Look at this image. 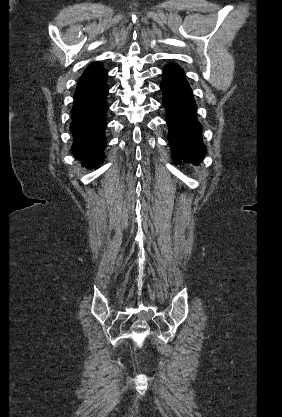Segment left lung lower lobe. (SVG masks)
Here are the masks:
<instances>
[{
    "label": "left lung lower lobe",
    "instance_id": "obj_1",
    "mask_svg": "<svg viewBox=\"0 0 282 417\" xmlns=\"http://www.w3.org/2000/svg\"><path fill=\"white\" fill-rule=\"evenodd\" d=\"M160 87L174 164H199L206 153V146L202 141L201 124L196 117L197 106L184 70L178 65H167Z\"/></svg>",
    "mask_w": 282,
    "mask_h": 417
}]
</instances>
